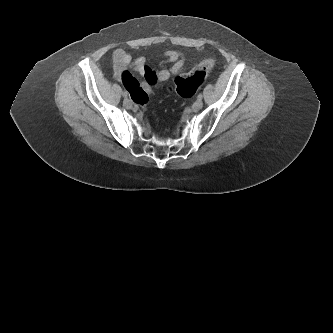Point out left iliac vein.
<instances>
[{
	"label": "left iliac vein",
	"instance_id": "1",
	"mask_svg": "<svg viewBox=\"0 0 333 333\" xmlns=\"http://www.w3.org/2000/svg\"><path fill=\"white\" fill-rule=\"evenodd\" d=\"M202 106H203L202 100L197 99L192 105V110L196 112V111L200 110L202 108Z\"/></svg>",
	"mask_w": 333,
	"mask_h": 333
}]
</instances>
